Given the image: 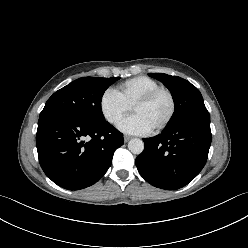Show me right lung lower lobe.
Segmentation results:
<instances>
[{
  "label": "right lung lower lobe",
  "instance_id": "obj_1",
  "mask_svg": "<svg viewBox=\"0 0 248 248\" xmlns=\"http://www.w3.org/2000/svg\"><path fill=\"white\" fill-rule=\"evenodd\" d=\"M123 143V134L105 120L50 113L38 121L36 146L41 168L55 184L68 190L97 182Z\"/></svg>",
  "mask_w": 248,
  "mask_h": 248
}]
</instances>
